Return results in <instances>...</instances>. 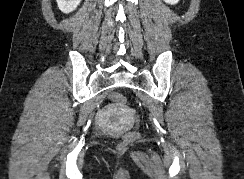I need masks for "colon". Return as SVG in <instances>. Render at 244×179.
Returning a JSON list of instances; mask_svg holds the SVG:
<instances>
[{"instance_id": "1", "label": "colon", "mask_w": 244, "mask_h": 179, "mask_svg": "<svg viewBox=\"0 0 244 179\" xmlns=\"http://www.w3.org/2000/svg\"><path fill=\"white\" fill-rule=\"evenodd\" d=\"M111 97L114 99V101L117 102H125V99L123 98V93H112ZM137 125L141 124L140 120L136 121ZM129 137H121V142H119V147H129V142H134V138H136V133H129Z\"/></svg>"}]
</instances>
